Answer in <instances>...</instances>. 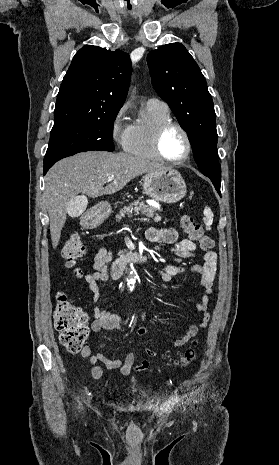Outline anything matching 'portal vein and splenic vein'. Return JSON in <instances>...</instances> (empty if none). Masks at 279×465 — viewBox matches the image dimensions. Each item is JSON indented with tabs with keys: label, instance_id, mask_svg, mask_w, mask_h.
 Here are the masks:
<instances>
[{
	"label": "portal vein and splenic vein",
	"instance_id": "18ae733b",
	"mask_svg": "<svg viewBox=\"0 0 279 465\" xmlns=\"http://www.w3.org/2000/svg\"><path fill=\"white\" fill-rule=\"evenodd\" d=\"M113 179H114V177L111 176V177H108V178H107V181L110 182V181H112Z\"/></svg>",
	"mask_w": 279,
	"mask_h": 465
}]
</instances>
